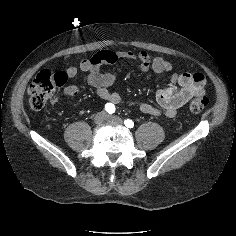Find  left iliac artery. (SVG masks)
<instances>
[{"label": "left iliac artery", "mask_w": 236, "mask_h": 236, "mask_svg": "<svg viewBox=\"0 0 236 236\" xmlns=\"http://www.w3.org/2000/svg\"><path fill=\"white\" fill-rule=\"evenodd\" d=\"M124 124H125V126L128 127V128H133V127H134V123H133V121L130 120V119L125 120V121H124Z\"/></svg>", "instance_id": "obj_1"}]
</instances>
